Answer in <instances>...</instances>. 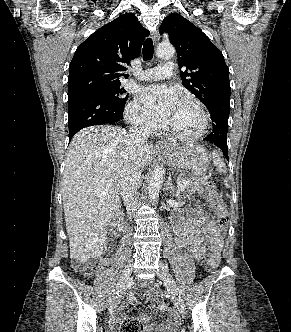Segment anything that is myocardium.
Segmentation results:
<instances>
[{
	"instance_id": "1",
	"label": "myocardium",
	"mask_w": 291,
	"mask_h": 332,
	"mask_svg": "<svg viewBox=\"0 0 291 332\" xmlns=\"http://www.w3.org/2000/svg\"><path fill=\"white\" fill-rule=\"evenodd\" d=\"M180 101L192 103L193 105H195L197 107V109L199 110V113L201 115L202 126L199 131H197L195 133H191V134H186V133H180L168 125L166 127V130L169 132V134L175 138L183 139V140H195V139L201 138L204 135H206L210 128V118H209V114H208L204 104L199 99L192 97V96H183V97H181Z\"/></svg>"
}]
</instances>
